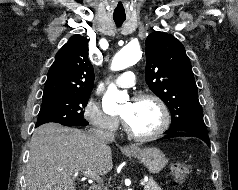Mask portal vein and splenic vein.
Here are the masks:
<instances>
[{
	"instance_id": "portal-vein-and-splenic-vein-1",
	"label": "portal vein and splenic vein",
	"mask_w": 238,
	"mask_h": 190,
	"mask_svg": "<svg viewBox=\"0 0 238 190\" xmlns=\"http://www.w3.org/2000/svg\"><path fill=\"white\" fill-rule=\"evenodd\" d=\"M85 176L90 178V179H94V180H101V178L99 177V175L91 170H88L86 171L85 173ZM147 183L145 181H142L141 182V185L144 186L146 185Z\"/></svg>"
}]
</instances>
